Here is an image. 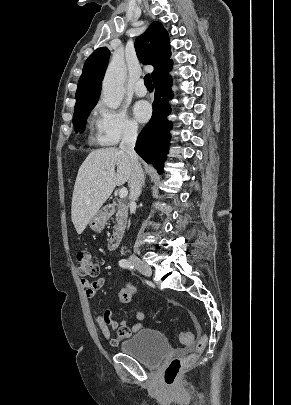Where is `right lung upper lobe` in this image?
<instances>
[{
	"mask_svg": "<svg viewBox=\"0 0 291 405\" xmlns=\"http://www.w3.org/2000/svg\"><path fill=\"white\" fill-rule=\"evenodd\" d=\"M138 58L143 64L153 65V82L172 67L171 52L167 31L160 22H153L145 33L135 41ZM110 51L107 47L95 50L86 60L76 91L74 112L94 107L98 101Z\"/></svg>",
	"mask_w": 291,
	"mask_h": 405,
	"instance_id": "right-lung-upper-lobe-1",
	"label": "right lung upper lobe"
}]
</instances>
